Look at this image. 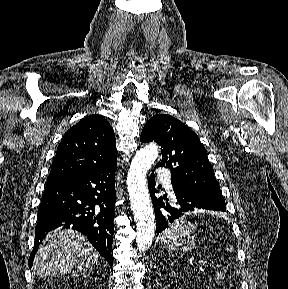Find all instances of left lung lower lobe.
I'll return each instance as SVG.
<instances>
[{"label":"left lung lower lobe","mask_w":288,"mask_h":289,"mask_svg":"<svg viewBox=\"0 0 288 289\" xmlns=\"http://www.w3.org/2000/svg\"><path fill=\"white\" fill-rule=\"evenodd\" d=\"M156 168V167H155ZM156 183L154 170L148 180V188L152 203L155 211L156 218V230L157 235L161 233L169 224L173 223L174 220L184 215L188 211H194L195 209H205L225 212V203L218 201L210 196L197 193L191 190L177 189L174 188L176 196V204L165 205L163 199L165 197H155Z\"/></svg>","instance_id":"1"}]
</instances>
